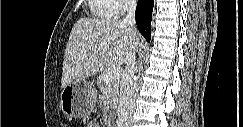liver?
I'll return each mask as SVG.
<instances>
[{"mask_svg":"<svg viewBox=\"0 0 243 127\" xmlns=\"http://www.w3.org/2000/svg\"><path fill=\"white\" fill-rule=\"evenodd\" d=\"M140 41V34L120 20L80 18L66 46L61 87L85 80L105 68H120Z\"/></svg>","mask_w":243,"mask_h":127,"instance_id":"liver-1","label":"liver"}]
</instances>
